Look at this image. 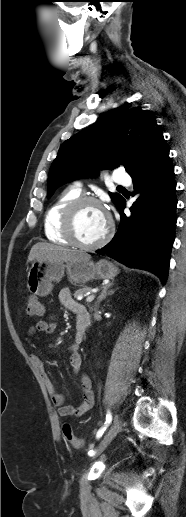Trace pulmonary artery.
I'll return each instance as SVG.
<instances>
[{
	"mask_svg": "<svg viewBox=\"0 0 186 517\" xmlns=\"http://www.w3.org/2000/svg\"><path fill=\"white\" fill-rule=\"evenodd\" d=\"M113 181L119 185H129L131 183L130 176L122 170H116L113 175ZM76 189L81 191L80 185L76 184Z\"/></svg>",
	"mask_w": 186,
	"mask_h": 517,
	"instance_id": "obj_1",
	"label": "pulmonary artery"
}]
</instances>
